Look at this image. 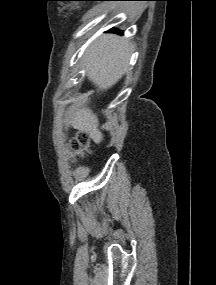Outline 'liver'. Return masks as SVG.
Segmentation results:
<instances>
[{
    "mask_svg": "<svg viewBox=\"0 0 216 285\" xmlns=\"http://www.w3.org/2000/svg\"><path fill=\"white\" fill-rule=\"evenodd\" d=\"M130 55L128 41L112 34L102 36L89 46L84 55L88 79L99 91L112 87L126 71ZM70 122L78 130L90 132L96 143L102 141L98 118L89 108L75 112L70 116Z\"/></svg>",
    "mask_w": 216,
    "mask_h": 285,
    "instance_id": "6515ba94",
    "label": "liver"
}]
</instances>
